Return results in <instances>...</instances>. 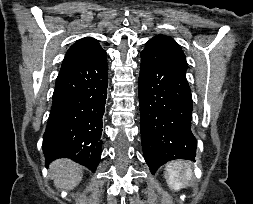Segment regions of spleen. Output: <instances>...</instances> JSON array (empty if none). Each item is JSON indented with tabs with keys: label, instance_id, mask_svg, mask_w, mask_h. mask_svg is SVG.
<instances>
[{
	"label": "spleen",
	"instance_id": "obj_1",
	"mask_svg": "<svg viewBox=\"0 0 253 204\" xmlns=\"http://www.w3.org/2000/svg\"><path fill=\"white\" fill-rule=\"evenodd\" d=\"M164 176L168 186L174 191H179L191 180L193 173L186 161L175 160L167 163Z\"/></svg>",
	"mask_w": 253,
	"mask_h": 204
}]
</instances>
